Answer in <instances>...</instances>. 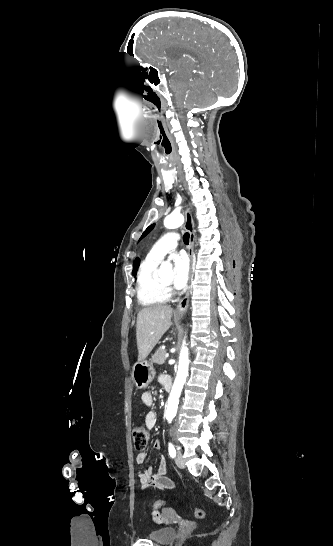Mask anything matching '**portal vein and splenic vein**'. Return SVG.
Wrapping results in <instances>:
<instances>
[{
    "instance_id": "18ae733b",
    "label": "portal vein and splenic vein",
    "mask_w": 333,
    "mask_h": 546,
    "mask_svg": "<svg viewBox=\"0 0 333 546\" xmlns=\"http://www.w3.org/2000/svg\"><path fill=\"white\" fill-rule=\"evenodd\" d=\"M165 357L168 358V357H169V353H166V354H165Z\"/></svg>"
}]
</instances>
